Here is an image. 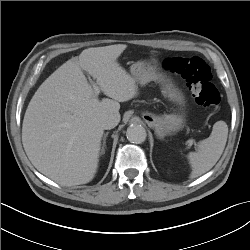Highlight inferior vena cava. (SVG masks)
Segmentation results:
<instances>
[{
	"instance_id": "602c4592",
	"label": "inferior vena cava",
	"mask_w": 250,
	"mask_h": 250,
	"mask_svg": "<svg viewBox=\"0 0 250 250\" xmlns=\"http://www.w3.org/2000/svg\"><path fill=\"white\" fill-rule=\"evenodd\" d=\"M119 121L120 119L118 117L114 115H108L101 120V127L105 130L112 129L118 125Z\"/></svg>"
}]
</instances>
